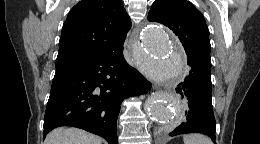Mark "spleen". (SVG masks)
<instances>
[{
  "label": "spleen",
  "mask_w": 260,
  "mask_h": 144,
  "mask_svg": "<svg viewBox=\"0 0 260 144\" xmlns=\"http://www.w3.org/2000/svg\"><path fill=\"white\" fill-rule=\"evenodd\" d=\"M184 144H212V141L201 134H189L185 135L184 138Z\"/></svg>",
  "instance_id": "spleen-1"
}]
</instances>
